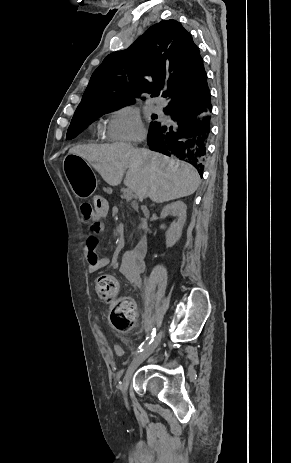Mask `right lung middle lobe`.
Wrapping results in <instances>:
<instances>
[{
  "label": "right lung middle lobe",
  "instance_id": "right-lung-middle-lobe-1",
  "mask_svg": "<svg viewBox=\"0 0 291 463\" xmlns=\"http://www.w3.org/2000/svg\"><path fill=\"white\" fill-rule=\"evenodd\" d=\"M134 101L130 102H111L100 104L86 109H78L75 111L72 118L71 124L68 128L66 137L71 139L80 133L87 125L92 123L98 117L122 108L123 106L133 104ZM152 119H156V116H152ZM158 122L153 121L150 123V127H153Z\"/></svg>",
  "mask_w": 291,
  "mask_h": 463
}]
</instances>
